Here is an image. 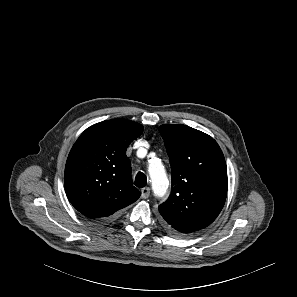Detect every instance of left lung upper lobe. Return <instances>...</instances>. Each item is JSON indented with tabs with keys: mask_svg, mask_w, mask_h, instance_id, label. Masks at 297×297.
<instances>
[{
	"mask_svg": "<svg viewBox=\"0 0 297 297\" xmlns=\"http://www.w3.org/2000/svg\"><path fill=\"white\" fill-rule=\"evenodd\" d=\"M159 131L172 169L171 194L159 211L177 234L203 229L219 215L227 196L224 155L212 137L189 126L164 124Z\"/></svg>",
	"mask_w": 297,
	"mask_h": 297,
	"instance_id": "obj_1",
	"label": "left lung upper lobe"
}]
</instances>
